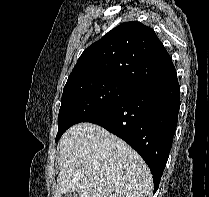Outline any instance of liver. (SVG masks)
<instances>
[{
	"label": "liver",
	"mask_w": 209,
	"mask_h": 197,
	"mask_svg": "<svg viewBox=\"0 0 209 197\" xmlns=\"http://www.w3.org/2000/svg\"><path fill=\"white\" fill-rule=\"evenodd\" d=\"M60 171L54 197H146L151 172L126 142L101 126L79 123L58 143Z\"/></svg>",
	"instance_id": "1"
}]
</instances>
